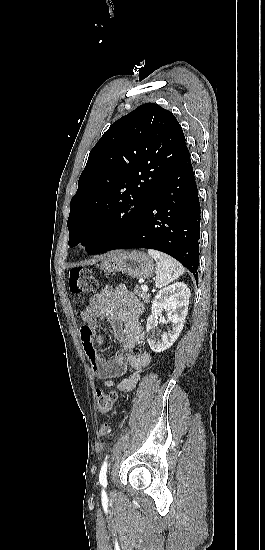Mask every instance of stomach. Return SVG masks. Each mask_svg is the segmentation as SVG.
<instances>
[{"label": "stomach", "mask_w": 265, "mask_h": 550, "mask_svg": "<svg viewBox=\"0 0 265 550\" xmlns=\"http://www.w3.org/2000/svg\"><path fill=\"white\" fill-rule=\"evenodd\" d=\"M101 269L108 273L122 272L132 278H150L154 272L153 260L140 251H113L104 256Z\"/></svg>", "instance_id": "stomach-1"}]
</instances>
